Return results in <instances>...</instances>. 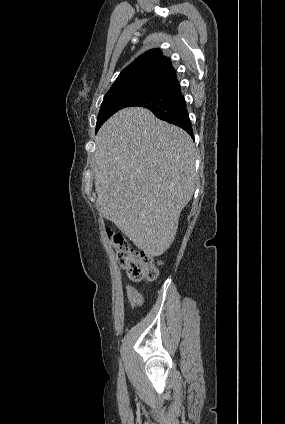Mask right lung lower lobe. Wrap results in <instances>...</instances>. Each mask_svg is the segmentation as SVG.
Instances as JSON below:
<instances>
[{"mask_svg":"<svg viewBox=\"0 0 285 424\" xmlns=\"http://www.w3.org/2000/svg\"><path fill=\"white\" fill-rule=\"evenodd\" d=\"M132 106L149 109L159 119L181 127L193 137L186 102L177 79L164 84L150 95L132 101L127 107Z\"/></svg>","mask_w":285,"mask_h":424,"instance_id":"obj_1","label":"right lung lower lobe"}]
</instances>
